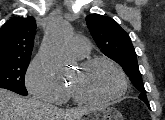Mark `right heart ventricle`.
Segmentation results:
<instances>
[{
    "label": "right heart ventricle",
    "mask_w": 165,
    "mask_h": 120,
    "mask_svg": "<svg viewBox=\"0 0 165 120\" xmlns=\"http://www.w3.org/2000/svg\"><path fill=\"white\" fill-rule=\"evenodd\" d=\"M72 94H71V92H70V90H69V88L67 89V97H69V96H71Z\"/></svg>",
    "instance_id": "1"
}]
</instances>
